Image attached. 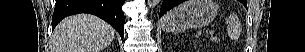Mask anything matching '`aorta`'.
<instances>
[{"mask_svg": "<svg viewBox=\"0 0 305 52\" xmlns=\"http://www.w3.org/2000/svg\"><path fill=\"white\" fill-rule=\"evenodd\" d=\"M147 2H148V6L150 8H153V7H155L156 5L159 4L160 0H148Z\"/></svg>", "mask_w": 305, "mask_h": 52, "instance_id": "762f6f07", "label": "aorta"}]
</instances>
